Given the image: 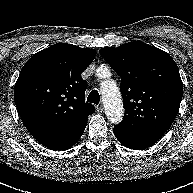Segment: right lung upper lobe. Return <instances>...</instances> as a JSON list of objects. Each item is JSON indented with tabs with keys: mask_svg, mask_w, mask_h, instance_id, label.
<instances>
[{
	"mask_svg": "<svg viewBox=\"0 0 193 193\" xmlns=\"http://www.w3.org/2000/svg\"><path fill=\"white\" fill-rule=\"evenodd\" d=\"M95 56L94 49L57 43L23 66L14 98L25 127L37 141L64 137L87 124L95 107L85 102L87 82L80 75Z\"/></svg>",
	"mask_w": 193,
	"mask_h": 193,
	"instance_id": "obj_1",
	"label": "right lung upper lobe"
}]
</instances>
